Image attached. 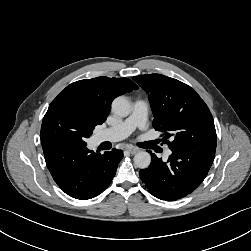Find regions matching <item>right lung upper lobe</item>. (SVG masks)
Segmentation results:
<instances>
[{
	"label": "right lung upper lobe",
	"mask_w": 251,
	"mask_h": 251,
	"mask_svg": "<svg viewBox=\"0 0 251 251\" xmlns=\"http://www.w3.org/2000/svg\"><path fill=\"white\" fill-rule=\"evenodd\" d=\"M133 89L138 87L128 78L97 77L80 80L67 86L50 106L70 104L85 113L94 124L100 125L106 120L113 99Z\"/></svg>",
	"instance_id": "cb5924a9"
}]
</instances>
